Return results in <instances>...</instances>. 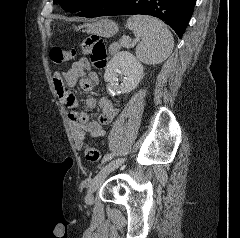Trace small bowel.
<instances>
[{
    "label": "small bowel",
    "mask_w": 240,
    "mask_h": 238,
    "mask_svg": "<svg viewBox=\"0 0 240 238\" xmlns=\"http://www.w3.org/2000/svg\"><path fill=\"white\" fill-rule=\"evenodd\" d=\"M86 72H89L88 76ZM99 81V75L91 71L90 62L86 58L73 63L66 71L59 69L54 73L53 83L56 94L60 102L70 109L68 121L77 149L82 147L87 137L102 138L105 135L106 125L113 120L119 110L109 98L103 97L97 101L89 97L85 102L86 108L94 109L98 105L100 109L98 119L92 121L86 112L78 110L77 99L66 89V85L74 86L78 83L83 91L88 92Z\"/></svg>",
    "instance_id": "c3829d8e"
}]
</instances>
